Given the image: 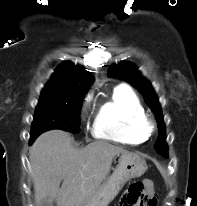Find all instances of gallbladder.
<instances>
[{"instance_id": "bac80fb5", "label": "gallbladder", "mask_w": 197, "mask_h": 206, "mask_svg": "<svg viewBox=\"0 0 197 206\" xmlns=\"http://www.w3.org/2000/svg\"><path fill=\"white\" fill-rule=\"evenodd\" d=\"M41 206H53L52 202L44 201Z\"/></svg>"}]
</instances>
